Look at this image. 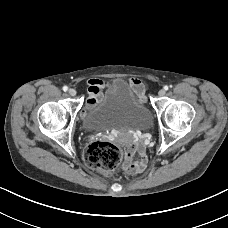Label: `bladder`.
Returning a JSON list of instances; mask_svg holds the SVG:
<instances>
[{"instance_id": "31cf9c89", "label": "bladder", "mask_w": 228, "mask_h": 228, "mask_svg": "<svg viewBox=\"0 0 228 228\" xmlns=\"http://www.w3.org/2000/svg\"><path fill=\"white\" fill-rule=\"evenodd\" d=\"M152 124V114L138 91L122 79L112 82L82 119L88 132L148 130Z\"/></svg>"}]
</instances>
